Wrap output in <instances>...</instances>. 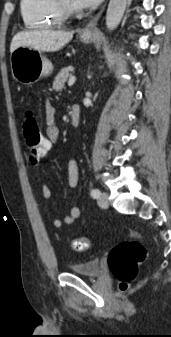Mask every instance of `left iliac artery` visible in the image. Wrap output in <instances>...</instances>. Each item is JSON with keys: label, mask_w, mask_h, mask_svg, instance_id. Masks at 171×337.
Masks as SVG:
<instances>
[{"label": "left iliac artery", "mask_w": 171, "mask_h": 337, "mask_svg": "<svg viewBox=\"0 0 171 337\" xmlns=\"http://www.w3.org/2000/svg\"><path fill=\"white\" fill-rule=\"evenodd\" d=\"M100 194H101L100 191L98 189H96V188L91 190V196L93 198H99Z\"/></svg>", "instance_id": "44dca946"}]
</instances>
